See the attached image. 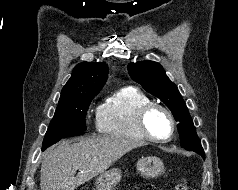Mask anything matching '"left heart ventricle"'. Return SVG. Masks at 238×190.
Listing matches in <instances>:
<instances>
[{
  "label": "left heart ventricle",
  "mask_w": 238,
  "mask_h": 190,
  "mask_svg": "<svg viewBox=\"0 0 238 190\" xmlns=\"http://www.w3.org/2000/svg\"><path fill=\"white\" fill-rule=\"evenodd\" d=\"M149 130L158 137H165L170 131V122L167 116L160 110H154L147 119Z\"/></svg>",
  "instance_id": "1"
}]
</instances>
